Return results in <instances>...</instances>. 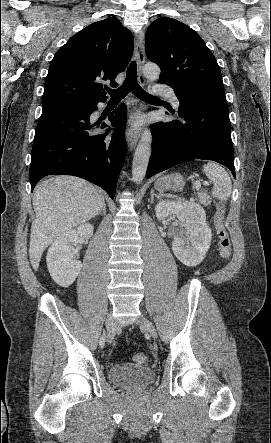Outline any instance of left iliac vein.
I'll use <instances>...</instances> for the list:
<instances>
[{"instance_id": "obj_1", "label": "left iliac vein", "mask_w": 271, "mask_h": 443, "mask_svg": "<svg viewBox=\"0 0 271 443\" xmlns=\"http://www.w3.org/2000/svg\"><path fill=\"white\" fill-rule=\"evenodd\" d=\"M140 323H141V326L154 338V339H156L157 338V332H156V330H155V328H154V326L152 325V323L147 319V318H145L144 316H142L141 318H140Z\"/></svg>"}]
</instances>
